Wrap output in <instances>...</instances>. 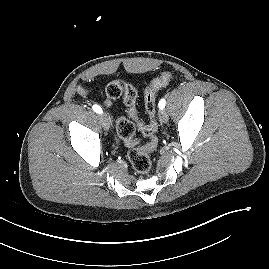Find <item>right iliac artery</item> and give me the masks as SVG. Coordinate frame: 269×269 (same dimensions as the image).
<instances>
[{
	"label": "right iliac artery",
	"instance_id": "1",
	"mask_svg": "<svg viewBox=\"0 0 269 269\" xmlns=\"http://www.w3.org/2000/svg\"><path fill=\"white\" fill-rule=\"evenodd\" d=\"M92 109L96 112V113H99L101 114L102 113V108L99 106V105H93L92 106Z\"/></svg>",
	"mask_w": 269,
	"mask_h": 269
}]
</instances>
